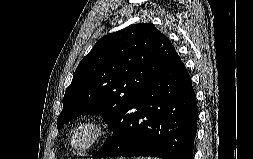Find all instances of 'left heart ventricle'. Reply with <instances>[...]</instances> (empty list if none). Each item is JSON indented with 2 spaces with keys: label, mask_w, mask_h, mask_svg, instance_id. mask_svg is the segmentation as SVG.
<instances>
[{
  "label": "left heart ventricle",
  "mask_w": 253,
  "mask_h": 159,
  "mask_svg": "<svg viewBox=\"0 0 253 159\" xmlns=\"http://www.w3.org/2000/svg\"><path fill=\"white\" fill-rule=\"evenodd\" d=\"M93 134V128L92 127H84L80 130L77 139H76V143L77 145H83L85 144L90 137Z\"/></svg>",
  "instance_id": "1"
}]
</instances>
